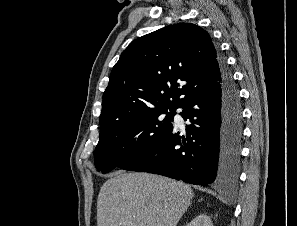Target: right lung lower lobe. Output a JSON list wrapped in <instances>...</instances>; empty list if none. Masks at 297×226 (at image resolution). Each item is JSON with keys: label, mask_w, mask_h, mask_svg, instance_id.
Instances as JSON below:
<instances>
[{"label": "right lung lower lobe", "mask_w": 297, "mask_h": 226, "mask_svg": "<svg viewBox=\"0 0 297 226\" xmlns=\"http://www.w3.org/2000/svg\"><path fill=\"white\" fill-rule=\"evenodd\" d=\"M220 72V81L214 87L191 95L180 106L181 116L191 122L186 125V136L172 129L122 169L203 186L235 183L243 131L242 104L222 58Z\"/></svg>", "instance_id": "right-lung-lower-lobe-1"}]
</instances>
